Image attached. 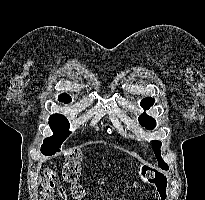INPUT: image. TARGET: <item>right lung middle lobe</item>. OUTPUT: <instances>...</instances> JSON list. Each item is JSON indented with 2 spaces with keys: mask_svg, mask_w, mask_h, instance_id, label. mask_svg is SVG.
Segmentation results:
<instances>
[{
  "mask_svg": "<svg viewBox=\"0 0 205 200\" xmlns=\"http://www.w3.org/2000/svg\"><path fill=\"white\" fill-rule=\"evenodd\" d=\"M58 100L67 104L71 102V97L68 94L63 93L58 97ZM49 126L54 134L44 140L42 148L54 151L55 153L60 151L61 144L69 136L70 124L65 116L61 114H53L49 118Z\"/></svg>",
  "mask_w": 205,
  "mask_h": 200,
  "instance_id": "right-lung-middle-lobe-1",
  "label": "right lung middle lobe"
}]
</instances>
